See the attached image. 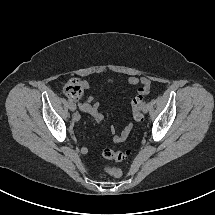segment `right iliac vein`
Listing matches in <instances>:
<instances>
[{
  "mask_svg": "<svg viewBox=\"0 0 215 215\" xmlns=\"http://www.w3.org/2000/svg\"><path fill=\"white\" fill-rule=\"evenodd\" d=\"M69 109H70L72 112H74V111L76 110V105H75L73 102L69 103Z\"/></svg>",
  "mask_w": 215,
  "mask_h": 215,
  "instance_id": "obj_1",
  "label": "right iliac vein"
}]
</instances>
